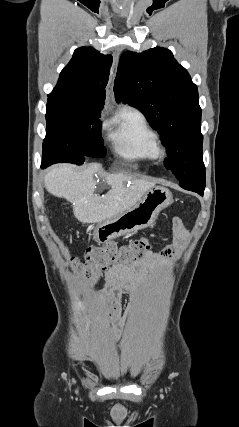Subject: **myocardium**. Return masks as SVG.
I'll return each instance as SVG.
<instances>
[{
	"mask_svg": "<svg viewBox=\"0 0 239 427\" xmlns=\"http://www.w3.org/2000/svg\"><path fill=\"white\" fill-rule=\"evenodd\" d=\"M168 156V150L165 146L158 145L156 149V157L165 159Z\"/></svg>",
	"mask_w": 239,
	"mask_h": 427,
	"instance_id": "f54148a6",
	"label": "myocardium"
}]
</instances>
